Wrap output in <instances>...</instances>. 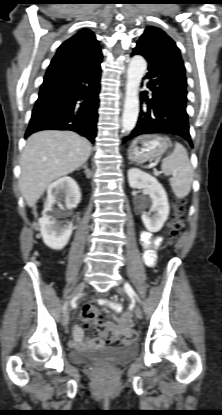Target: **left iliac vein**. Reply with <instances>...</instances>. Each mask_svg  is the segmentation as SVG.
Listing matches in <instances>:
<instances>
[{
    "mask_svg": "<svg viewBox=\"0 0 222 415\" xmlns=\"http://www.w3.org/2000/svg\"><path fill=\"white\" fill-rule=\"evenodd\" d=\"M116 291L121 295H124V293H125L124 288L119 287V286L116 288ZM134 312H135V315H136L137 318H139V319L142 318L143 313H142V309H141L140 306L136 305L135 309H134Z\"/></svg>",
    "mask_w": 222,
    "mask_h": 415,
    "instance_id": "1",
    "label": "left iliac vein"
}]
</instances>
